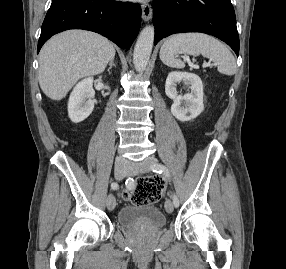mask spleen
<instances>
[{
  "label": "spleen",
  "instance_id": "spleen-1",
  "mask_svg": "<svg viewBox=\"0 0 286 269\" xmlns=\"http://www.w3.org/2000/svg\"><path fill=\"white\" fill-rule=\"evenodd\" d=\"M185 53L199 54L212 60L220 73L233 75L236 61L229 49L217 39L203 33H179L165 40L160 49L161 61L172 68L182 69L185 63L175 55Z\"/></svg>",
  "mask_w": 286,
  "mask_h": 269
}]
</instances>
